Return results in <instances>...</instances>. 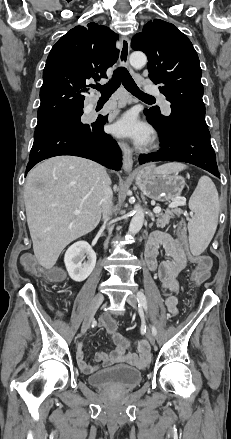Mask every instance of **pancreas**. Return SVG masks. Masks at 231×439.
<instances>
[{"label":"pancreas","mask_w":231,"mask_h":439,"mask_svg":"<svg viewBox=\"0 0 231 439\" xmlns=\"http://www.w3.org/2000/svg\"><path fill=\"white\" fill-rule=\"evenodd\" d=\"M181 210L180 209H174L172 211H168L166 213H159L156 215L157 220H156V226L158 228H164L166 225H168L170 223V219H172L174 217V214H180Z\"/></svg>","instance_id":"pancreas-1"}]
</instances>
